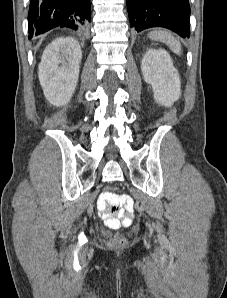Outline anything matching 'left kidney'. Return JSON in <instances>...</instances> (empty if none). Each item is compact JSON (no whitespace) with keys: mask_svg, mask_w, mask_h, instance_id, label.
Listing matches in <instances>:
<instances>
[{"mask_svg":"<svg viewBox=\"0 0 227 298\" xmlns=\"http://www.w3.org/2000/svg\"><path fill=\"white\" fill-rule=\"evenodd\" d=\"M144 80L151 84L155 101L170 107L181 96L179 73L164 49H149L141 61Z\"/></svg>","mask_w":227,"mask_h":298,"instance_id":"5707ae66","label":"left kidney"}]
</instances>
